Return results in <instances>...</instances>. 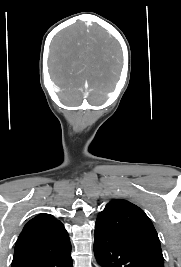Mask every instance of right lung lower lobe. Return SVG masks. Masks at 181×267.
I'll use <instances>...</instances> for the list:
<instances>
[{
	"label": "right lung lower lobe",
	"instance_id": "98d812e1",
	"mask_svg": "<svg viewBox=\"0 0 181 267\" xmlns=\"http://www.w3.org/2000/svg\"><path fill=\"white\" fill-rule=\"evenodd\" d=\"M70 249L63 252L13 258L11 267H72Z\"/></svg>",
	"mask_w": 181,
	"mask_h": 267
}]
</instances>
